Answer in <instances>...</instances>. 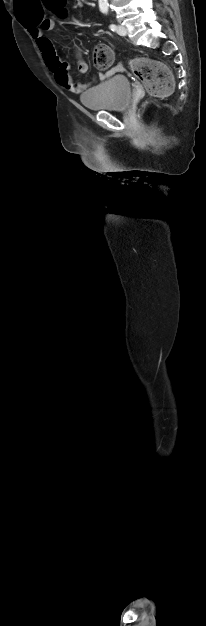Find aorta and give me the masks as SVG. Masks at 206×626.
I'll use <instances>...</instances> for the list:
<instances>
[{
    "label": "aorta",
    "instance_id": "762f6f07",
    "mask_svg": "<svg viewBox=\"0 0 206 626\" xmlns=\"http://www.w3.org/2000/svg\"><path fill=\"white\" fill-rule=\"evenodd\" d=\"M99 6L102 9H107V7H108V0H99Z\"/></svg>",
    "mask_w": 206,
    "mask_h": 626
}]
</instances>
